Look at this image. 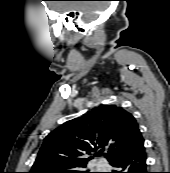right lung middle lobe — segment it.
I'll use <instances>...</instances> for the list:
<instances>
[{
    "label": "right lung middle lobe",
    "mask_w": 170,
    "mask_h": 173,
    "mask_svg": "<svg viewBox=\"0 0 170 173\" xmlns=\"http://www.w3.org/2000/svg\"><path fill=\"white\" fill-rule=\"evenodd\" d=\"M71 173H89L88 171L83 170H78V171H73Z\"/></svg>",
    "instance_id": "obj_1"
}]
</instances>
